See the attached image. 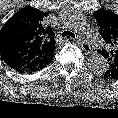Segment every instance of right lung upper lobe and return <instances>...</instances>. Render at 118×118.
Segmentation results:
<instances>
[{"label":"right lung upper lobe","mask_w":118,"mask_h":118,"mask_svg":"<svg viewBox=\"0 0 118 118\" xmlns=\"http://www.w3.org/2000/svg\"><path fill=\"white\" fill-rule=\"evenodd\" d=\"M48 14L26 6L17 11L0 30V55L19 72H34L53 60L56 42L50 27L42 25Z\"/></svg>","instance_id":"right-lung-upper-lobe-1"}]
</instances>
